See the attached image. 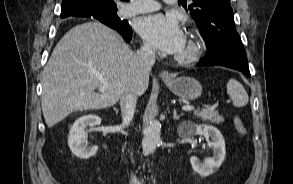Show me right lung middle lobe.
Instances as JSON below:
<instances>
[{
	"instance_id": "obj_1",
	"label": "right lung middle lobe",
	"mask_w": 293,
	"mask_h": 184,
	"mask_svg": "<svg viewBox=\"0 0 293 184\" xmlns=\"http://www.w3.org/2000/svg\"><path fill=\"white\" fill-rule=\"evenodd\" d=\"M79 5L83 10L92 11V12H103V15L107 18L119 19V17L116 15L117 9H113L109 12H105L106 7L101 2L92 1V0H83L79 2Z\"/></svg>"
}]
</instances>
